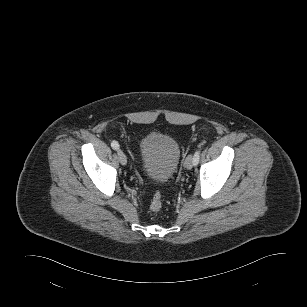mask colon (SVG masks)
<instances>
[{"instance_id": "colon-1", "label": "colon", "mask_w": 307, "mask_h": 307, "mask_svg": "<svg viewBox=\"0 0 307 307\" xmlns=\"http://www.w3.org/2000/svg\"><path fill=\"white\" fill-rule=\"evenodd\" d=\"M162 195L159 191H156L151 199L150 209L154 212H158L162 209Z\"/></svg>"}]
</instances>
